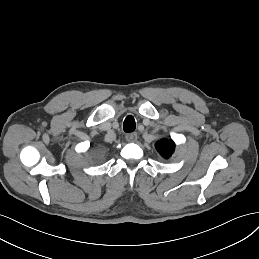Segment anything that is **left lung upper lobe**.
Listing matches in <instances>:
<instances>
[{
  "mask_svg": "<svg viewBox=\"0 0 259 259\" xmlns=\"http://www.w3.org/2000/svg\"><path fill=\"white\" fill-rule=\"evenodd\" d=\"M155 148L164 159H169L174 153L175 143L171 139H161L155 143Z\"/></svg>",
  "mask_w": 259,
  "mask_h": 259,
  "instance_id": "1",
  "label": "left lung upper lobe"
}]
</instances>
